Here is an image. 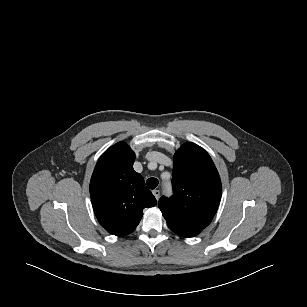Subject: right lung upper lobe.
<instances>
[{"label":"right lung upper lobe","instance_id":"1","mask_svg":"<svg viewBox=\"0 0 307 307\" xmlns=\"http://www.w3.org/2000/svg\"><path fill=\"white\" fill-rule=\"evenodd\" d=\"M135 153L124 142L108 148L99 158L90 181L96 217L111 234L125 236L139 224L143 209L157 201L143 177L134 171Z\"/></svg>","mask_w":307,"mask_h":307}]
</instances>
